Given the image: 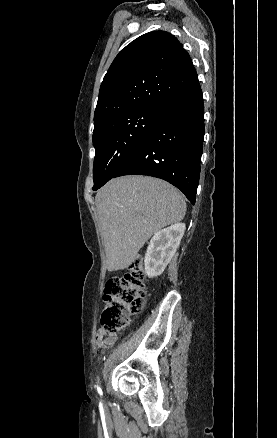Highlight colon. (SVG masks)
Here are the masks:
<instances>
[{
  "label": "colon",
  "mask_w": 277,
  "mask_h": 438,
  "mask_svg": "<svg viewBox=\"0 0 277 438\" xmlns=\"http://www.w3.org/2000/svg\"><path fill=\"white\" fill-rule=\"evenodd\" d=\"M143 268L139 262L131 265V274L124 277H113L108 288L101 291L108 297L109 305L102 312L99 320V333L123 330L132 317L141 312L147 289L142 282Z\"/></svg>",
  "instance_id": "colon-1"
}]
</instances>
